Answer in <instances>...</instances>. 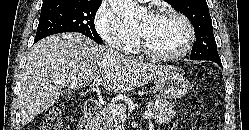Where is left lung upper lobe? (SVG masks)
<instances>
[{
	"label": "left lung upper lobe",
	"mask_w": 249,
	"mask_h": 130,
	"mask_svg": "<svg viewBox=\"0 0 249 130\" xmlns=\"http://www.w3.org/2000/svg\"><path fill=\"white\" fill-rule=\"evenodd\" d=\"M167 3L175 10L182 12L193 24L196 42L190 58L192 60L220 59L206 0H167Z\"/></svg>",
	"instance_id": "5c2ea615"
}]
</instances>
